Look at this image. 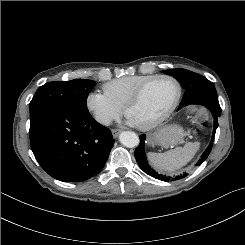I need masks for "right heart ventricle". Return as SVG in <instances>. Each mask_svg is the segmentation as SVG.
<instances>
[{"label": "right heart ventricle", "instance_id": "e07e8e85", "mask_svg": "<svg viewBox=\"0 0 245 245\" xmlns=\"http://www.w3.org/2000/svg\"><path fill=\"white\" fill-rule=\"evenodd\" d=\"M153 75H130L113 79L103 85L104 93L117 105L124 108L125 103L137 87Z\"/></svg>", "mask_w": 245, "mask_h": 245}]
</instances>
